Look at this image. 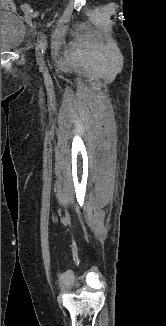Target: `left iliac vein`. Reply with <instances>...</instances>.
<instances>
[{"instance_id":"obj_1","label":"left iliac vein","mask_w":166,"mask_h":326,"mask_svg":"<svg viewBox=\"0 0 166 326\" xmlns=\"http://www.w3.org/2000/svg\"><path fill=\"white\" fill-rule=\"evenodd\" d=\"M35 51H36L37 57H40L41 56V46L37 45L36 48H35Z\"/></svg>"}]
</instances>
